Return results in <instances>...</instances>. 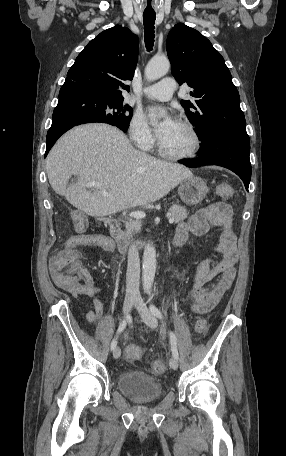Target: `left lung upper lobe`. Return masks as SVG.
I'll return each mask as SVG.
<instances>
[{
    "mask_svg": "<svg viewBox=\"0 0 286 456\" xmlns=\"http://www.w3.org/2000/svg\"><path fill=\"white\" fill-rule=\"evenodd\" d=\"M172 74L180 85L193 88L192 101L181 105L196 126L201 141L220 130L246 132L240 97L222 55L197 30L176 24L167 37Z\"/></svg>",
    "mask_w": 286,
    "mask_h": 456,
    "instance_id": "obj_1",
    "label": "left lung upper lobe"
}]
</instances>
